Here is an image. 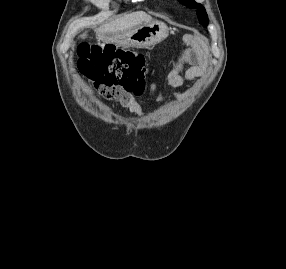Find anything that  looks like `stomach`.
Returning <instances> with one entry per match:
<instances>
[{"instance_id":"0dacf381","label":"stomach","mask_w":286,"mask_h":269,"mask_svg":"<svg viewBox=\"0 0 286 269\" xmlns=\"http://www.w3.org/2000/svg\"><path fill=\"white\" fill-rule=\"evenodd\" d=\"M168 36V27L161 21L141 23L128 31L113 35L105 42L135 48H147L163 41Z\"/></svg>"}]
</instances>
